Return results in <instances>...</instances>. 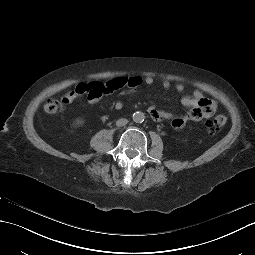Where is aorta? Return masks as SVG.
<instances>
[{"label":"aorta","instance_id":"1","mask_svg":"<svg viewBox=\"0 0 255 255\" xmlns=\"http://www.w3.org/2000/svg\"><path fill=\"white\" fill-rule=\"evenodd\" d=\"M144 114L142 112H135L133 115H132V119L135 123H142L144 121Z\"/></svg>","mask_w":255,"mask_h":255}]
</instances>
